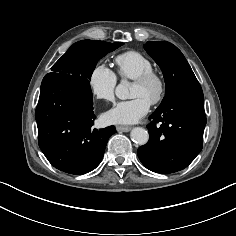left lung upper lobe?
I'll use <instances>...</instances> for the list:
<instances>
[{"label":"left lung upper lobe","instance_id":"1","mask_svg":"<svg viewBox=\"0 0 236 236\" xmlns=\"http://www.w3.org/2000/svg\"><path fill=\"white\" fill-rule=\"evenodd\" d=\"M144 48L160 66L164 75L166 94L159 107L177 91L200 85L184 55L175 45L166 41H154L144 44Z\"/></svg>","mask_w":236,"mask_h":236}]
</instances>
